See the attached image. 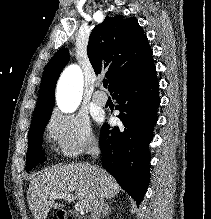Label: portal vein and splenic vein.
Instances as JSON below:
<instances>
[{"instance_id": "1", "label": "portal vein and splenic vein", "mask_w": 211, "mask_h": 219, "mask_svg": "<svg viewBox=\"0 0 211 219\" xmlns=\"http://www.w3.org/2000/svg\"><path fill=\"white\" fill-rule=\"evenodd\" d=\"M51 199H64L67 200L69 202H72L75 200V196L73 194H64V193H54L52 195H50ZM75 210L76 211H82L83 207L80 205V203H76L75 204Z\"/></svg>"}]
</instances>
